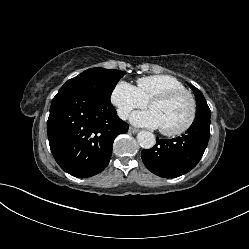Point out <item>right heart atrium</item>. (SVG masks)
I'll return each instance as SVG.
<instances>
[{"instance_id": "obj_1", "label": "right heart atrium", "mask_w": 249, "mask_h": 249, "mask_svg": "<svg viewBox=\"0 0 249 249\" xmlns=\"http://www.w3.org/2000/svg\"><path fill=\"white\" fill-rule=\"evenodd\" d=\"M111 103L116 108L120 118L126 119L135 108H143L147 102L140 96L137 88L126 81H119L114 86Z\"/></svg>"}]
</instances>
